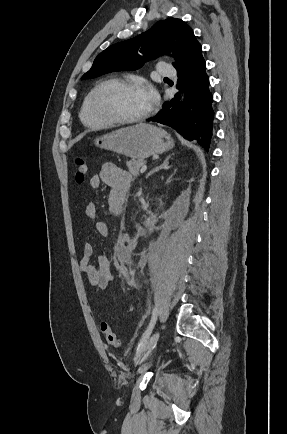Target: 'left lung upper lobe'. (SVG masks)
Here are the masks:
<instances>
[{
    "instance_id": "5c2ea615",
    "label": "left lung upper lobe",
    "mask_w": 287,
    "mask_h": 434,
    "mask_svg": "<svg viewBox=\"0 0 287 434\" xmlns=\"http://www.w3.org/2000/svg\"><path fill=\"white\" fill-rule=\"evenodd\" d=\"M202 53L193 30L181 19L157 22L148 31L102 51L82 79L95 78L121 70H135L159 55L171 54L176 69Z\"/></svg>"
}]
</instances>
